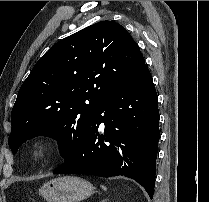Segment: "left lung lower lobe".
<instances>
[{
	"label": "left lung lower lobe",
	"mask_w": 209,
	"mask_h": 202,
	"mask_svg": "<svg viewBox=\"0 0 209 202\" xmlns=\"http://www.w3.org/2000/svg\"><path fill=\"white\" fill-rule=\"evenodd\" d=\"M159 118L157 93L145 64L96 105L84 138L53 174L125 176L141 184L152 199ZM102 122L104 132L99 133Z\"/></svg>",
	"instance_id": "obj_1"
}]
</instances>
